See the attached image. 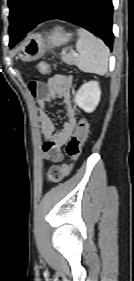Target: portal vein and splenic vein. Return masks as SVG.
<instances>
[{
	"instance_id": "portal-vein-and-splenic-vein-1",
	"label": "portal vein and splenic vein",
	"mask_w": 134,
	"mask_h": 281,
	"mask_svg": "<svg viewBox=\"0 0 134 281\" xmlns=\"http://www.w3.org/2000/svg\"><path fill=\"white\" fill-rule=\"evenodd\" d=\"M72 54H73L74 56H76V55H77V53H76L75 51H72Z\"/></svg>"
}]
</instances>
